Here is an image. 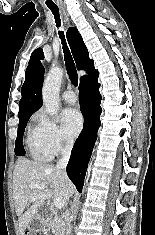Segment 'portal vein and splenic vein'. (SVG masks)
<instances>
[{
	"label": "portal vein and splenic vein",
	"mask_w": 155,
	"mask_h": 235,
	"mask_svg": "<svg viewBox=\"0 0 155 235\" xmlns=\"http://www.w3.org/2000/svg\"><path fill=\"white\" fill-rule=\"evenodd\" d=\"M30 187L31 188H38V189H44L45 188V186L43 184H39V183H32V184H30ZM54 206L57 209L63 208L64 200L62 198H60V197H55L54 198Z\"/></svg>",
	"instance_id": "portal-vein-and-splenic-vein-1"
}]
</instances>
